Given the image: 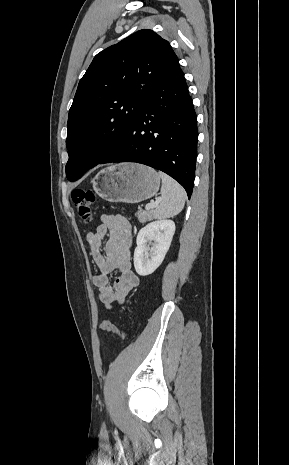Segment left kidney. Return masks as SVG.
I'll return each instance as SVG.
<instances>
[{"mask_svg": "<svg viewBox=\"0 0 289 465\" xmlns=\"http://www.w3.org/2000/svg\"><path fill=\"white\" fill-rule=\"evenodd\" d=\"M175 233L172 220L148 223L137 235L134 267L140 276L152 274L162 263Z\"/></svg>", "mask_w": 289, "mask_h": 465, "instance_id": "left-kidney-1", "label": "left kidney"}]
</instances>
